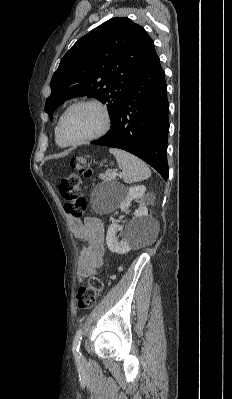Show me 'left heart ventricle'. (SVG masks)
Listing matches in <instances>:
<instances>
[{
	"instance_id": "1",
	"label": "left heart ventricle",
	"mask_w": 232,
	"mask_h": 399,
	"mask_svg": "<svg viewBox=\"0 0 232 399\" xmlns=\"http://www.w3.org/2000/svg\"><path fill=\"white\" fill-rule=\"evenodd\" d=\"M103 124L101 111L91 105H79L69 111L63 123L65 135L80 140L96 133Z\"/></svg>"
}]
</instances>
